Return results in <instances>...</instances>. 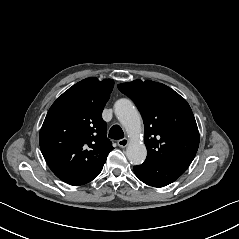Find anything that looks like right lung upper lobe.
<instances>
[{"mask_svg":"<svg viewBox=\"0 0 239 239\" xmlns=\"http://www.w3.org/2000/svg\"><path fill=\"white\" fill-rule=\"evenodd\" d=\"M114 81L86 78L50 107L40 130V149L54 173L87 174L101 167L113 146L106 137L103 108Z\"/></svg>","mask_w":239,"mask_h":239,"instance_id":"obj_1","label":"right lung upper lobe"}]
</instances>
